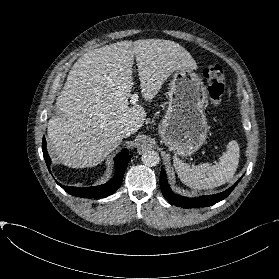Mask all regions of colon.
Wrapping results in <instances>:
<instances>
[{
    "label": "colon",
    "instance_id": "5ec220e1",
    "mask_svg": "<svg viewBox=\"0 0 279 279\" xmlns=\"http://www.w3.org/2000/svg\"><path fill=\"white\" fill-rule=\"evenodd\" d=\"M204 77L208 84V95L213 106L219 107L225 91V73L223 67L210 62L204 69Z\"/></svg>",
    "mask_w": 279,
    "mask_h": 279
}]
</instances>
